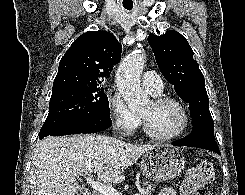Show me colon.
<instances>
[{"label":"colon","mask_w":245,"mask_h":195,"mask_svg":"<svg viewBox=\"0 0 245 195\" xmlns=\"http://www.w3.org/2000/svg\"><path fill=\"white\" fill-rule=\"evenodd\" d=\"M215 169L211 161H204L190 169L180 187L181 195H208L207 183L215 180Z\"/></svg>","instance_id":"obj_1"}]
</instances>
